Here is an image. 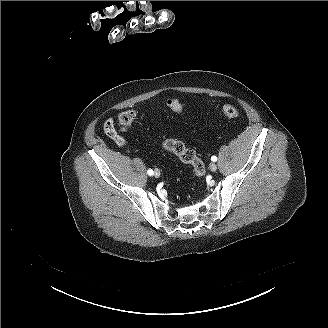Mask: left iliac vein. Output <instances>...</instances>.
<instances>
[{"instance_id": "obj_1", "label": "left iliac vein", "mask_w": 328, "mask_h": 328, "mask_svg": "<svg viewBox=\"0 0 328 328\" xmlns=\"http://www.w3.org/2000/svg\"><path fill=\"white\" fill-rule=\"evenodd\" d=\"M211 171H216L217 170V165L215 163H211L209 165Z\"/></svg>"}]
</instances>
